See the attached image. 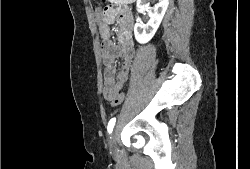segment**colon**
I'll return each mask as SVG.
<instances>
[{"label":"colon","instance_id":"5ec220e1","mask_svg":"<svg viewBox=\"0 0 250 169\" xmlns=\"http://www.w3.org/2000/svg\"><path fill=\"white\" fill-rule=\"evenodd\" d=\"M99 3H106L107 0H98ZM100 51H105V40H100ZM123 90L121 92H118V97H109V102L113 104L112 106L114 107V104H122L123 102ZM106 95H117V93H106Z\"/></svg>","mask_w":250,"mask_h":169}]
</instances>
